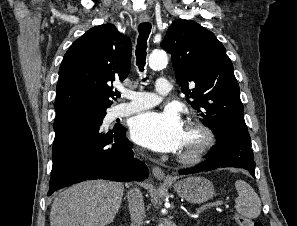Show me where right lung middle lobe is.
<instances>
[{
	"label": "right lung middle lobe",
	"mask_w": 297,
	"mask_h": 226,
	"mask_svg": "<svg viewBox=\"0 0 297 226\" xmlns=\"http://www.w3.org/2000/svg\"><path fill=\"white\" fill-rule=\"evenodd\" d=\"M105 115H106V111H105V110L98 111V116H99V117L104 118Z\"/></svg>",
	"instance_id": "1"
}]
</instances>
